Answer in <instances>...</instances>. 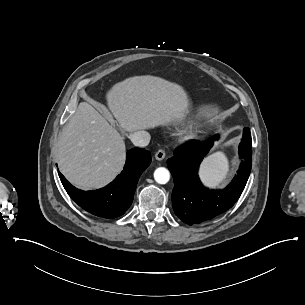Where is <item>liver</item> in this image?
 Listing matches in <instances>:
<instances>
[{
	"label": "liver",
	"mask_w": 305,
	"mask_h": 305,
	"mask_svg": "<svg viewBox=\"0 0 305 305\" xmlns=\"http://www.w3.org/2000/svg\"><path fill=\"white\" fill-rule=\"evenodd\" d=\"M106 98L120 127L128 132L178 124L189 112L180 85L151 75L116 83ZM125 159L123 137L92 105L81 102L59 139L60 172L77 188L97 189L121 172Z\"/></svg>",
	"instance_id": "6515ba94"
}]
</instances>
